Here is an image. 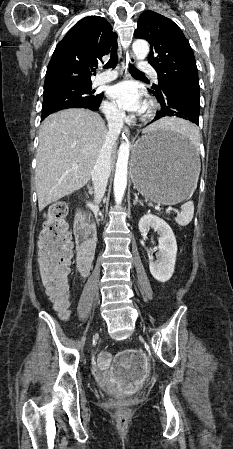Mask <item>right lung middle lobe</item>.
Instances as JSON below:
<instances>
[{
    "instance_id": "right-lung-middle-lobe-1",
    "label": "right lung middle lobe",
    "mask_w": 233,
    "mask_h": 449,
    "mask_svg": "<svg viewBox=\"0 0 233 449\" xmlns=\"http://www.w3.org/2000/svg\"><path fill=\"white\" fill-rule=\"evenodd\" d=\"M91 84L68 85L45 91L43 94L42 115L73 106L95 107L103 94H94Z\"/></svg>"
}]
</instances>
